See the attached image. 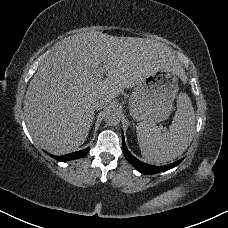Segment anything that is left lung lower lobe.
I'll use <instances>...</instances> for the list:
<instances>
[{"label":"left lung lower lobe","mask_w":228,"mask_h":228,"mask_svg":"<svg viewBox=\"0 0 228 228\" xmlns=\"http://www.w3.org/2000/svg\"><path fill=\"white\" fill-rule=\"evenodd\" d=\"M122 140H123V152H124V155L126 157V159L135 167V169H137L138 171L140 172H143L145 174H148V175H151V174H156V173H160V172H164V171H167V170H170L176 166H178L184 158L174 162V163H171V164H168V165H165V166H153V165H149V164H146L144 162H141L139 161L137 158H135L130 152L129 150L127 149L126 145H125V140H124V134L122 133Z\"/></svg>","instance_id":"0a47b994"}]
</instances>
